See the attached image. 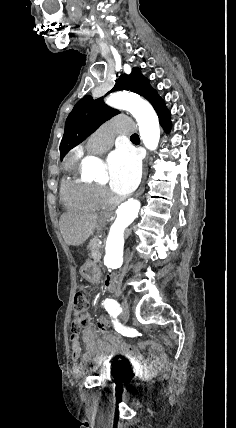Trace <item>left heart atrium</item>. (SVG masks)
<instances>
[{
    "label": "left heart atrium",
    "mask_w": 236,
    "mask_h": 428,
    "mask_svg": "<svg viewBox=\"0 0 236 428\" xmlns=\"http://www.w3.org/2000/svg\"><path fill=\"white\" fill-rule=\"evenodd\" d=\"M109 184L113 192L128 194L138 185L141 163L130 148H117L108 157Z\"/></svg>",
    "instance_id": "39dd6f15"
}]
</instances>
